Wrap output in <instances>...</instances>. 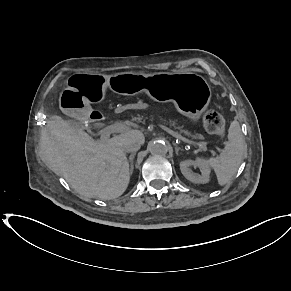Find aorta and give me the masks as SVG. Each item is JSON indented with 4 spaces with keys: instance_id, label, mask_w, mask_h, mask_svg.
<instances>
[{
    "instance_id": "762f6f07",
    "label": "aorta",
    "mask_w": 291,
    "mask_h": 291,
    "mask_svg": "<svg viewBox=\"0 0 291 291\" xmlns=\"http://www.w3.org/2000/svg\"><path fill=\"white\" fill-rule=\"evenodd\" d=\"M149 151L152 155L163 156L168 152V145L163 141H153L149 144Z\"/></svg>"
}]
</instances>
